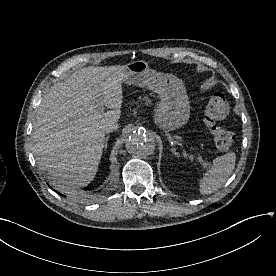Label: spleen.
<instances>
[{
	"label": "spleen",
	"instance_id": "3e777b00",
	"mask_svg": "<svg viewBox=\"0 0 276 276\" xmlns=\"http://www.w3.org/2000/svg\"><path fill=\"white\" fill-rule=\"evenodd\" d=\"M236 155L229 152L213 160V164L200 180L199 191L202 195L212 194L222 187L235 168Z\"/></svg>",
	"mask_w": 276,
	"mask_h": 276
}]
</instances>
